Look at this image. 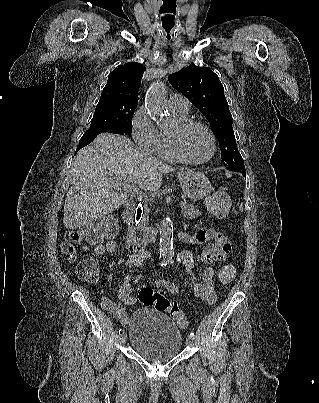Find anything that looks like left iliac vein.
Here are the masks:
<instances>
[{
  "label": "left iliac vein",
  "instance_id": "obj_1",
  "mask_svg": "<svg viewBox=\"0 0 319 403\" xmlns=\"http://www.w3.org/2000/svg\"><path fill=\"white\" fill-rule=\"evenodd\" d=\"M187 344L193 346L194 345V337L188 336L186 339Z\"/></svg>",
  "mask_w": 319,
  "mask_h": 403
}]
</instances>
